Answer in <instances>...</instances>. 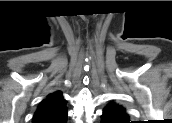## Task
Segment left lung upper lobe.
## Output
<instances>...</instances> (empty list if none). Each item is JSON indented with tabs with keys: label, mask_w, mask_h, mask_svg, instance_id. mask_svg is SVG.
<instances>
[{
	"label": "left lung upper lobe",
	"mask_w": 172,
	"mask_h": 123,
	"mask_svg": "<svg viewBox=\"0 0 172 123\" xmlns=\"http://www.w3.org/2000/svg\"><path fill=\"white\" fill-rule=\"evenodd\" d=\"M102 120L106 121V123H128L129 117L122 106L109 103L104 109Z\"/></svg>",
	"instance_id": "obj_1"
}]
</instances>
